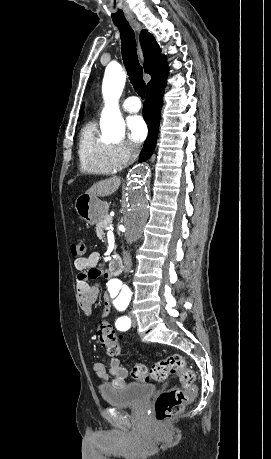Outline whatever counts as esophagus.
I'll return each mask as SVG.
<instances>
[{"label": "esophagus", "instance_id": "1", "mask_svg": "<svg viewBox=\"0 0 271 459\" xmlns=\"http://www.w3.org/2000/svg\"><path fill=\"white\" fill-rule=\"evenodd\" d=\"M131 25L135 28V30H136L137 32H140V30H141V25H140V23H138V22H132ZM136 55L138 56V59H139V60H142V59H143L142 50H141V47H140L139 44H138V51L136 52Z\"/></svg>", "mask_w": 271, "mask_h": 459}]
</instances>
